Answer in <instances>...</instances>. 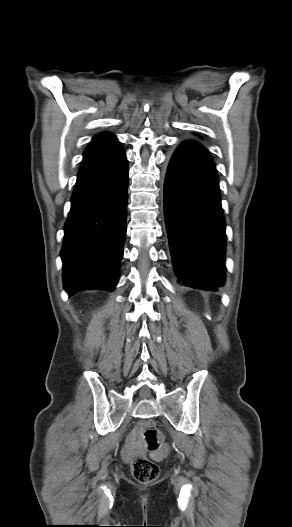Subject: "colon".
Segmentation results:
<instances>
[{
  "label": "colon",
  "mask_w": 292,
  "mask_h": 527,
  "mask_svg": "<svg viewBox=\"0 0 292 527\" xmlns=\"http://www.w3.org/2000/svg\"><path fill=\"white\" fill-rule=\"evenodd\" d=\"M144 442L149 450H156L160 445L159 432L155 424L151 421L142 423L139 426ZM132 473L134 478L140 483H150L159 477V467L147 457L139 455L133 459Z\"/></svg>",
  "instance_id": "colon-1"
}]
</instances>
